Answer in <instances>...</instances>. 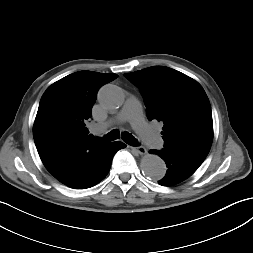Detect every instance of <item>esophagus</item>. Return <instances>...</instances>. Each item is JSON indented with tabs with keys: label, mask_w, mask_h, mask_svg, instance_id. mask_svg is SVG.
<instances>
[{
	"label": "esophagus",
	"mask_w": 253,
	"mask_h": 253,
	"mask_svg": "<svg viewBox=\"0 0 253 253\" xmlns=\"http://www.w3.org/2000/svg\"><path fill=\"white\" fill-rule=\"evenodd\" d=\"M135 152H137L140 155L146 154L147 150L143 146H138V147H131Z\"/></svg>",
	"instance_id": "esophagus-1"
}]
</instances>
